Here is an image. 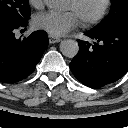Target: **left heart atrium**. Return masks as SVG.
Returning a JSON list of instances; mask_svg holds the SVG:
<instances>
[{
    "label": "left heart atrium",
    "instance_id": "left-heart-atrium-1",
    "mask_svg": "<svg viewBox=\"0 0 128 128\" xmlns=\"http://www.w3.org/2000/svg\"><path fill=\"white\" fill-rule=\"evenodd\" d=\"M33 24L37 29L44 30L53 36H61L77 26L78 17L73 11L64 13L48 11L37 14Z\"/></svg>",
    "mask_w": 128,
    "mask_h": 128
}]
</instances>
